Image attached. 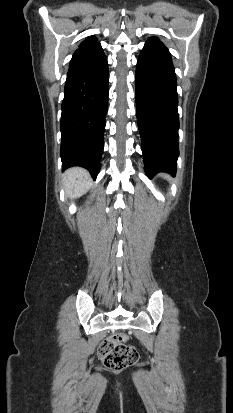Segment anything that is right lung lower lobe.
I'll list each match as a JSON object with an SVG mask.
<instances>
[{
	"instance_id": "right-lung-lower-lobe-1",
	"label": "right lung lower lobe",
	"mask_w": 233,
	"mask_h": 413,
	"mask_svg": "<svg viewBox=\"0 0 233 413\" xmlns=\"http://www.w3.org/2000/svg\"><path fill=\"white\" fill-rule=\"evenodd\" d=\"M109 72L100 43L80 47L70 61L61 116L62 168L81 166L99 173L108 109Z\"/></svg>"
}]
</instances>
